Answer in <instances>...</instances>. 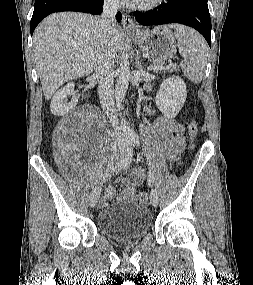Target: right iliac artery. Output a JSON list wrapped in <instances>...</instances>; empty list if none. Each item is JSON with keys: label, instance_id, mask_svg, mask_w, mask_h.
<instances>
[{"label": "right iliac artery", "instance_id": "1", "mask_svg": "<svg viewBox=\"0 0 253 285\" xmlns=\"http://www.w3.org/2000/svg\"><path fill=\"white\" fill-rule=\"evenodd\" d=\"M132 155H133V150H132V142L131 140H127V154L125 158L120 162V168L122 170L127 169L132 161Z\"/></svg>", "mask_w": 253, "mask_h": 285}]
</instances>
